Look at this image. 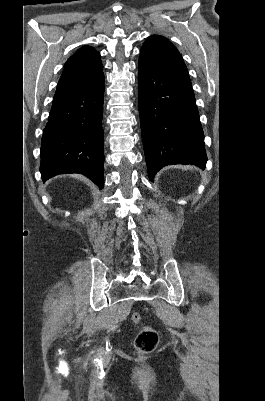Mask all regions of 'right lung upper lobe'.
Segmentation results:
<instances>
[{"mask_svg":"<svg viewBox=\"0 0 265 401\" xmlns=\"http://www.w3.org/2000/svg\"><path fill=\"white\" fill-rule=\"evenodd\" d=\"M100 53L93 47L83 46L65 63L54 98L96 88L104 81Z\"/></svg>","mask_w":265,"mask_h":401,"instance_id":"right-lung-upper-lobe-1","label":"right lung upper lobe"}]
</instances>
